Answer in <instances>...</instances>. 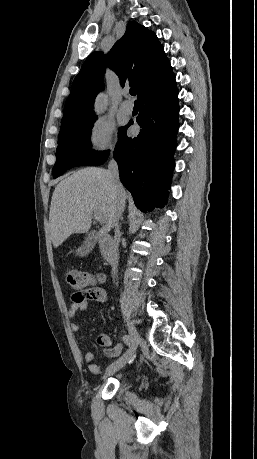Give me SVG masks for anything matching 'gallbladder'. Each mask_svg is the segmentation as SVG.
Returning <instances> with one entry per match:
<instances>
[{"instance_id":"bac80fb5","label":"gallbladder","mask_w":257,"mask_h":459,"mask_svg":"<svg viewBox=\"0 0 257 459\" xmlns=\"http://www.w3.org/2000/svg\"><path fill=\"white\" fill-rule=\"evenodd\" d=\"M96 243V237L94 234H88V236L85 238L83 244L81 245V247H79L77 250H76V255H79V256H86L88 255L92 249L94 248V245Z\"/></svg>"}]
</instances>
